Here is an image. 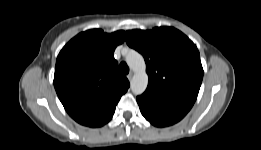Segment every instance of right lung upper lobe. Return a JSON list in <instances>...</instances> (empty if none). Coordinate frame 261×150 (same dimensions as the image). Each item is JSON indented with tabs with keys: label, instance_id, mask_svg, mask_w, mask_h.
Masks as SVG:
<instances>
[{
	"label": "right lung upper lobe",
	"instance_id": "1",
	"mask_svg": "<svg viewBox=\"0 0 261 150\" xmlns=\"http://www.w3.org/2000/svg\"><path fill=\"white\" fill-rule=\"evenodd\" d=\"M124 38V31L108 34L92 29L75 36L60 51L54 87L65 110L78 123L104 125L128 90L129 81L119 72L113 56Z\"/></svg>",
	"mask_w": 261,
	"mask_h": 150
}]
</instances>
